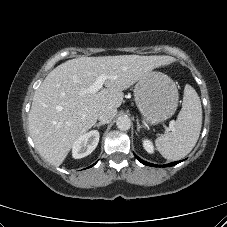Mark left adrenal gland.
Returning <instances> with one entry per match:
<instances>
[{"mask_svg":"<svg viewBox=\"0 0 227 227\" xmlns=\"http://www.w3.org/2000/svg\"><path fill=\"white\" fill-rule=\"evenodd\" d=\"M143 126L140 125L139 121L137 120V131H140V129L142 128Z\"/></svg>","mask_w":227,"mask_h":227,"instance_id":"obj_1","label":"left adrenal gland"}]
</instances>
